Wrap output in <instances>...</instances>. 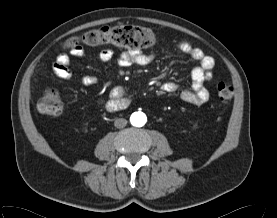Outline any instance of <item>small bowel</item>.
<instances>
[{"instance_id": "c3829d8e", "label": "small bowel", "mask_w": 277, "mask_h": 218, "mask_svg": "<svg viewBox=\"0 0 277 218\" xmlns=\"http://www.w3.org/2000/svg\"><path fill=\"white\" fill-rule=\"evenodd\" d=\"M174 45L191 59L198 61L199 66L195 67L191 73V90H186L181 93V99L187 103L194 105H202L209 99V92L205 88L204 83L212 77L214 69V59L206 55L203 50L193 47L185 40H175ZM71 56L82 58L85 56V51L82 47L77 46L70 51V55L62 53L58 55L52 65V70L60 78L71 79L73 72L71 70ZM114 53L111 49H103L97 59L106 63L113 59ZM154 60V55L143 54L135 51H126L119 55L117 64L120 67H129L133 65L143 66ZM81 83L85 86H94L98 83V78L93 75H85L81 78ZM178 89V85L174 82H166L162 85V90L165 92H174ZM113 97H122L126 91L123 87L117 86L112 90Z\"/></svg>"}]
</instances>
